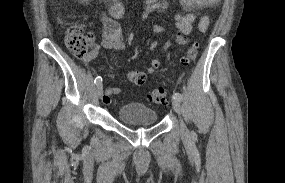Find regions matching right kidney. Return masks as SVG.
Masks as SVG:
<instances>
[{
    "label": "right kidney",
    "mask_w": 285,
    "mask_h": 183,
    "mask_svg": "<svg viewBox=\"0 0 285 183\" xmlns=\"http://www.w3.org/2000/svg\"><path fill=\"white\" fill-rule=\"evenodd\" d=\"M78 1H80L81 3H86V2H88L89 0H78Z\"/></svg>",
    "instance_id": "right-kidney-1"
}]
</instances>
